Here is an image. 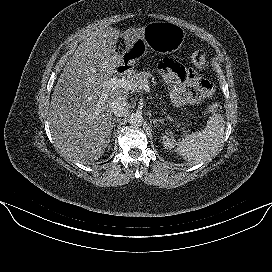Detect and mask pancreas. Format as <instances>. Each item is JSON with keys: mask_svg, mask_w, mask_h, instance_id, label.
<instances>
[{"mask_svg": "<svg viewBox=\"0 0 272 272\" xmlns=\"http://www.w3.org/2000/svg\"><path fill=\"white\" fill-rule=\"evenodd\" d=\"M152 78L153 83L156 84L154 81V77L150 72H138L133 76V81L139 84H149V79ZM168 121H173L170 116H167ZM179 126V125H178Z\"/></svg>", "mask_w": 272, "mask_h": 272, "instance_id": "cf45deb5", "label": "pancreas"}]
</instances>
